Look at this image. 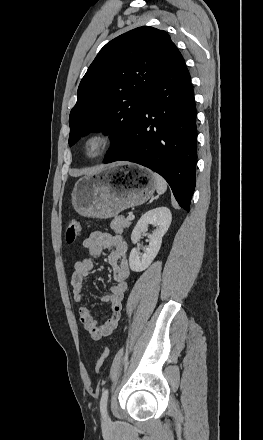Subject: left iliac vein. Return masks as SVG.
<instances>
[{
    "instance_id": "1",
    "label": "left iliac vein",
    "mask_w": 263,
    "mask_h": 440,
    "mask_svg": "<svg viewBox=\"0 0 263 440\" xmlns=\"http://www.w3.org/2000/svg\"><path fill=\"white\" fill-rule=\"evenodd\" d=\"M103 420L104 421H109V415L108 413L105 411V413L103 414Z\"/></svg>"
}]
</instances>
